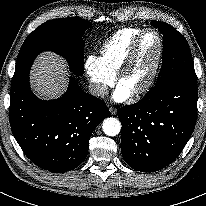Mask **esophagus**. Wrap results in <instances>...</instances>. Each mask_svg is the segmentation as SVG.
I'll list each match as a JSON object with an SVG mask.
<instances>
[{
	"label": "esophagus",
	"mask_w": 206,
	"mask_h": 206,
	"mask_svg": "<svg viewBox=\"0 0 206 206\" xmlns=\"http://www.w3.org/2000/svg\"><path fill=\"white\" fill-rule=\"evenodd\" d=\"M109 111H110V113H111L112 115H116V114H117V109L114 108V107H110V108H109Z\"/></svg>",
	"instance_id": "esophagus-1"
}]
</instances>
